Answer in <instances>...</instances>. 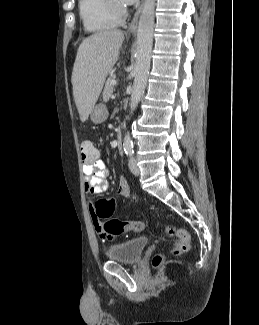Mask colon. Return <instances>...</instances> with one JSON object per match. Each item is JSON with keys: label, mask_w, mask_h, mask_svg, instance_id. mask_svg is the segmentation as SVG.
<instances>
[{"label": "colon", "mask_w": 259, "mask_h": 325, "mask_svg": "<svg viewBox=\"0 0 259 325\" xmlns=\"http://www.w3.org/2000/svg\"><path fill=\"white\" fill-rule=\"evenodd\" d=\"M80 157L83 163H90L97 157V149L89 140H84L80 144ZM116 208V202L111 199H103L96 203L94 212L96 217L101 221L104 232L108 235H119L123 232L133 231L141 232L145 225L141 221H123L112 218ZM168 235L175 239L172 247L174 255H182L190 249L189 233L175 226L166 228ZM163 261L161 255H156L153 259L154 265H159Z\"/></svg>", "instance_id": "5ec220e1"}]
</instances>
